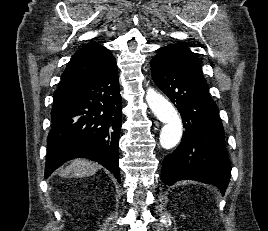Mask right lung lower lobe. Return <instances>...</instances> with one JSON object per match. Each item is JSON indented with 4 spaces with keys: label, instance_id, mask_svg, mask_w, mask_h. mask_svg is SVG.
<instances>
[{
    "label": "right lung lower lobe",
    "instance_id": "right-lung-lower-lobe-1",
    "mask_svg": "<svg viewBox=\"0 0 268 231\" xmlns=\"http://www.w3.org/2000/svg\"><path fill=\"white\" fill-rule=\"evenodd\" d=\"M122 99L116 60L80 83L51 110L45 178L67 160L85 157L110 170L118 182Z\"/></svg>",
    "mask_w": 268,
    "mask_h": 231
}]
</instances>
